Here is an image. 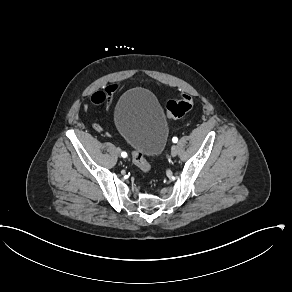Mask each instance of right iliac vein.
<instances>
[{"label": "right iliac vein", "instance_id": "1", "mask_svg": "<svg viewBox=\"0 0 292 292\" xmlns=\"http://www.w3.org/2000/svg\"><path fill=\"white\" fill-rule=\"evenodd\" d=\"M119 151H120V150L117 148V149H116V152L119 153Z\"/></svg>", "mask_w": 292, "mask_h": 292}]
</instances>
